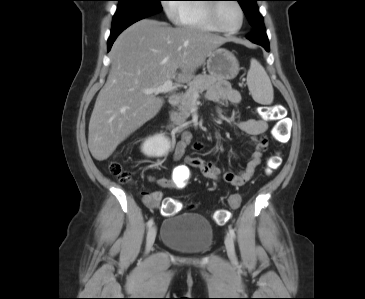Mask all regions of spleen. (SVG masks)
Masks as SVG:
<instances>
[{"mask_svg":"<svg viewBox=\"0 0 365 299\" xmlns=\"http://www.w3.org/2000/svg\"><path fill=\"white\" fill-rule=\"evenodd\" d=\"M247 85L254 101L263 105L272 103L274 92L270 78L262 65L254 58L250 61Z\"/></svg>","mask_w":365,"mask_h":299,"instance_id":"obj_1","label":"spleen"}]
</instances>
